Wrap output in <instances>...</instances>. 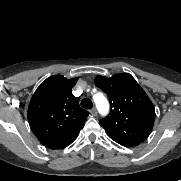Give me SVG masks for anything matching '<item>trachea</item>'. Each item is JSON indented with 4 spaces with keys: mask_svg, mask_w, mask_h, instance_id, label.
I'll return each instance as SVG.
<instances>
[{
    "mask_svg": "<svg viewBox=\"0 0 181 181\" xmlns=\"http://www.w3.org/2000/svg\"><path fill=\"white\" fill-rule=\"evenodd\" d=\"M92 106H93V103H92V101H91L89 98H84V99L81 101V107H82V108L91 109Z\"/></svg>",
    "mask_w": 181,
    "mask_h": 181,
    "instance_id": "1",
    "label": "trachea"
}]
</instances>
